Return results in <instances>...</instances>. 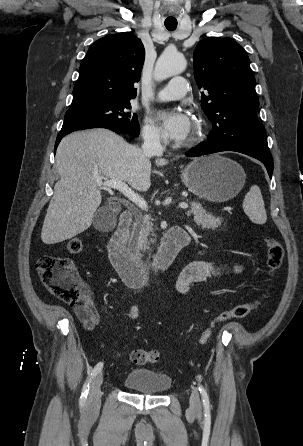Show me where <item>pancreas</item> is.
<instances>
[{
  "instance_id": "1",
  "label": "pancreas",
  "mask_w": 303,
  "mask_h": 446,
  "mask_svg": "<svg viewBox=\"0 0 303 446\" xmlns=\"http://www.w3.org/2000/svg\"><path fill=\"white\" fill-rule=\"evenodd\" d=\"M45 9L46 7L41 8V10ZM190 205L191 210L189 211V215H193V220L198 226L212 229L221 226L222 218L208 213L199 202L192 201ZM151 236H154V225L151 219L138 214L131 231L127 234L129 251L132 253H140L149 250V244L153 242Z\"/></svg>"
}]
</instances>
